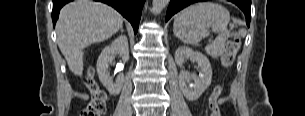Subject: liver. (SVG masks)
I'll list each match as a JSON object with an SVG mask.
<instances>
[{
    "label": "liver",
    "instance_id": "obj_1",
    "mask_svg": "<svg viewBox=\"0 0 305 116\" xmlns=\"http://www.w3.org/2000/svg\"><path fill=\"white\" fill-rule=\"evenodd\" d=\"M123 26V17L112 7L91 0L65 5L56 24L57 43L69 69L83 73V50L110 38Z\"/></svg>",
    "mask_w": 305,
    "mask_h": 116
}]
</instances>
